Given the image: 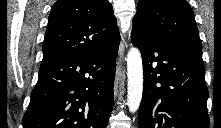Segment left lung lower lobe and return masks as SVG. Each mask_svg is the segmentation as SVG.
<instances>
[{
  "label": "left lung lower lobe",
  "instance_id": "obj_1",
  "mask_svg": "<svg viewBox=\"0 0 221 128\" xmlns=\"http://www.w3.org/2000/svg\"><path fill=\"white\" fill-rule=\"evenodd\" d=\"M143 59L139 128H208L202 56L162 38L131 32Z\"/></svg>",
  "mask_w": 221,
  "mask_h": 128
}]
</instances>
